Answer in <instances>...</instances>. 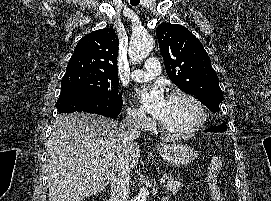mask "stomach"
I'll list each match as a JSON object with an SVG mask.
<instances>
[{"label": "stomach", "instance_id": "obj_1", "mask_svg": "<svg viewBox=\"0 0 271 201\" xmlns=\"http://www.w3.org/2000/svg\"><path fill=\"white\" fill-rule=\"evenodd\" d=\"M157 150L163 160L172 166L190 164L198 157V152L194 148L180 143L161 144Z\"/></svg>", "mask_w": 271, "mask_h": 201}]
</instances>
